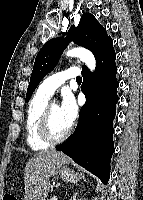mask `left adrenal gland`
Wrapping results in <instances>:
<instances>
[{
    "mask_svg": "<svg viewBox=\"0 0 143 200\" xmlns=\"http://www.w3.org/2000/svg\"><path fill=\"white\" fill-rule=\"evenodd\" d=\"M77 193L74 194L73 198L71 200H77L76 199Z\"/></svg>",
    "mask_w": 143,
    "mask_h": 200,
    "instance_id": "obj_1",
    "label": "left adrenal gland"
}]
</instances>
